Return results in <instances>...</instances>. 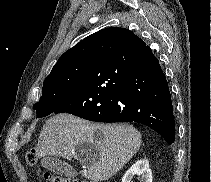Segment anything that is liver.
Instances as JSON below:
<instances>
[{"mask_svg":"<svg viewBox=\"0 0 211 182\" xmlns=\"http://www.w3.org/2000/svg\"><path fill=\"white\" fill-rule=\"evenodd\" d=\"M100 132V139L95 133ZM93 145L97 157L81 160L86 169L80 174L91 182L105 181L115 175L136 154L141 146V134L128 124H91L71 114L49 118L39 135L36 155L58 156L71 161L77 157L76 147Z\"/></svg>","mask_w":211,"mask_h":182,"instance_id":"6515ba94","label":"liver"}]
</instances>
